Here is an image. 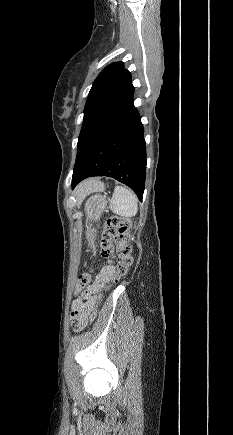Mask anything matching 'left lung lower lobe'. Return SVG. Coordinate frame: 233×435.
Returning a JSON list of instances; mask_svg holds the SVG:
<instances>
[{"label": "left lung lower lobe", "instance_id": "1", "mask_svg": "<svg viewBox=\"0 0 233 435\" xmlns=\"http://www.w3.org/2000/svg\"><path fill=\"white\" fill-rule=\"evenodd\" d=\"M144 129L134 105L107 125L76 160L72 187L90 176H109L129 186L141 201L146 178Z\"/></svg>", "mask_w": 233, "mask_h": 435}]
</instances>
